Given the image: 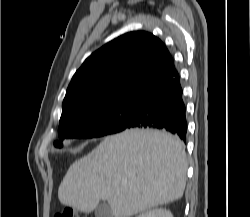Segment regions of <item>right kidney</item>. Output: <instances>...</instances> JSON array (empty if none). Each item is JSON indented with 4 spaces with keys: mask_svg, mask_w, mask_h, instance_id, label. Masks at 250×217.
<instances>
[{
    "mask_svg": "<svg viewBox=\"0 0 250 217\" xmlns=\"http://www.w3.org/2000/svg\"><path fill=\"white\" fill-rule=\"evenodd\" d=\"M138 217H173V215L166 208H155L140 214Z\"/></svg>",
    "mask_w": 250,
    "mask_h": 217,
    "instance_id": "obj_1",
    "label": "right kidney"
}]
</instances>
